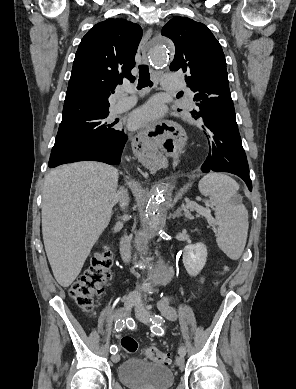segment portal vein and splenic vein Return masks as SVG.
Segmentation results:
<instances>
[{
    "instance_id": "obj_1",
    "label": "portal vein and splenic vein",
    "mask_w": 296,
    "mask_h": 389,
    "mask_svg": "<svg viewBox=\"0 0 296 389\" xmlns=\"http://www.w3.org/2000/svg\"><path fill=\"white\" fill-rule=\"evenodd\" d=\"M185 201H186L185 208L190 209V210L191 209H199V206L195 202H192L189 199H186ZM202 215L205 217H208L210 215V211L208 209H205L202 211Z\"/></svg>"
}]
</instances>
